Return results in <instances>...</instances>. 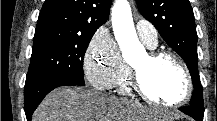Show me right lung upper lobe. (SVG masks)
Here are the masks:
<instances>
[{
    "label": "right lung upper lobe",
    "instance_id": "obj_1",
    "mask_svg": "<svg viewBox=\"0 0 217 121\" xmlns=\"http://www.w3.org/2000/svg\"><path fill=\"white\" fill-rule=\"evenodd\" d=\"M111 0H46L36 28L57 26L79 33H95L108 20Z\"/></svg>",
    "mask_w": 217,
    "mask_h": 121
}]
</instances>
